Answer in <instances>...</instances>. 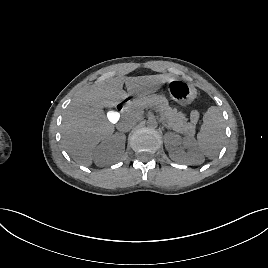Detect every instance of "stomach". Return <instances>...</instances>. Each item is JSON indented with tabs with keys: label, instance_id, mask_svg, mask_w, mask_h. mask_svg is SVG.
I'll return each mask as SVG.
<instances>
[{
	"label": "stomach",
	"instance_id": "1",
	"mask_svg": "<svg viewBox=\"0 0 268 268\" xmlns=\"http://www.w3.org/2000/svg\"><path fill=\"white\" fill-rule=\"evenodd\" d=\"M170 96L180 104H189L196 97L195 87L181 79H171L168 81Z\"/></svg>",
	"mask_w": 268,
	"mask_h": 268
}]
</instances>
